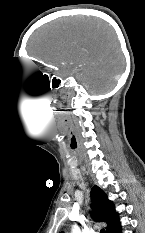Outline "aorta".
<instances>
[{
    "mask_svg": "<svg viewBox=\"0 0 145 233\" xmlns=\"http://www.w3.org/2000/svg\"><path fill=\"white\" fill-rule=\"evenodd\" d=\"M72 233H79L78 230L76 229V227H74V228L72 229Z\"/></svg>",
    "mask_w": 145,
    "mask_h": 233,
    "instance_id": "aorta-1",
    "label": "aorta"
}]
</instances>
